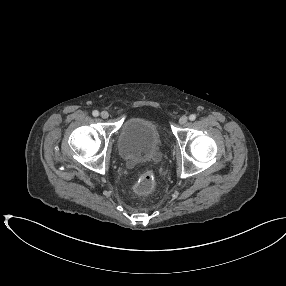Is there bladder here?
<instances>
[{
  "label": "bladder",
  "instance_id": "bladder-1",
  "mask_svg": "<svg viewBox=\"0 0 286 286\" xmlns=\"http://www.w3.org/2000/svg\"><path fill=\"white\" fill-rule=\"evenodd\" d=\"M119 154L128 161L143 163L162 154V141L155 122L148 117L124 120L119 134Z\"/></svg>",
  "mask_w": 286,
  "mask_h": 286
}]
</instances>
